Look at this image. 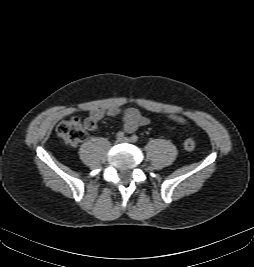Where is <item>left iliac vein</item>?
<instances>
[{
  "mask_svg": "<svg viewBox=\"0 0 254 267\" xmlns=\"http://www.w3.org/2000/svg\"><path fill=\"white\" fill-rule=\"evenodd\" d=\"M120 142L130 143L132 141L130 138L125 137V138L121 139Z\"/></svg>",
  "mask_w": 254,
  "mask_h": 267,
  "instance_id": "obj_1",
  "label": "left iliac vein"
}]
</instances>
